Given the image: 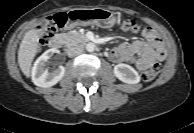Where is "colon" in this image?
<instances>
[{
  "label": "colon",
  "instance_id": "5ec220e1",
  "mask_svg": "<svg viewBox=\"0 0 194 133\" xmlns=\"http://www.w3.org/2000/svg\"><path fill=\"white\" fill-rule=\"evenodd\" d=\"M65 14H58L52 19H50L41 29L39 42L41 45H44L48 40L53 36L55 31L62 27L66 23ZM120 25L123 29L127 31H137L138 24L133 19H123L120 21ZM160 64L155 63L149 69L143 71L142 78L144 81L153 80L160 71Z\"/></svg>",
  "mask_w": 194,
  "mask_h": 133
}]
</instances>
